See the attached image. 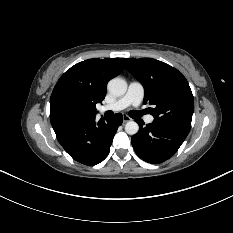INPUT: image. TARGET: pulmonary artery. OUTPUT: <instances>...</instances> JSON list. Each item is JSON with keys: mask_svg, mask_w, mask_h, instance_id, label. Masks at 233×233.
<instances>
[{"mask_svg": "<svg viewBox=\"0 0 233 233\" xmlns=\"http://www.w3.org/2000/svg\"><path fill=\"white\" fill-rule=\"evenodd\" d=\"M143 97H144V88L142 84L137 81H132L130 82L128 86V90L124 96L120 97L119 99H117L116 101L110 104L103 105L102 107H100V111L116 112V111H121L131 105L138 107L141 104ZM145 121L147 123H152L154 121V117L152 115H147L145 117Z\"/></svg>", "mask_w": 233, "mask_h": 233, "instance_id": "1", "label": "pulmonary artery"}]
</instances>
